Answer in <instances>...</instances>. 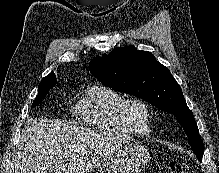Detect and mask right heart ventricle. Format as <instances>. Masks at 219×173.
Returning <instances> with one entry per match:
<instances>
[{"instance_id": "1", "label": "right heart ventricle", "mask_w": 219, "mask_h": 173, "mask_svg": "<svg viewBox=\"0 0 219 173\" xmlns=\"http://www.w3.org/2000/svg\"><path fill=\"white\" fill-rule=\"evenodd\" d=\"M124 97L102 84H93L81 91L71 105L74 117L84 126L108 134L134 136L119 118Z\"/></svg>"}]
</instances>
